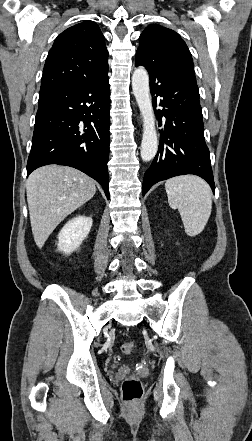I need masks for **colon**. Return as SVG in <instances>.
<instances>
[{"mask_svg": "<svg viewBox=\"0 0 252 441\" xmlns=\"http://www.w3.org/2000/svg\"><path fill=\"white\" fill-rule=\"evenodd\" d=\"M135 350L133 342H125L121 345V351L124 354H132ZM143 393L140 379L136 374H131L125 378L122 383V396L125 402L134 403L138 401Z\"/></svg>", "mask_w": 252, "mask_h": 441, "instance_id": "colon-1", "label": "colon"}]
</instances>
